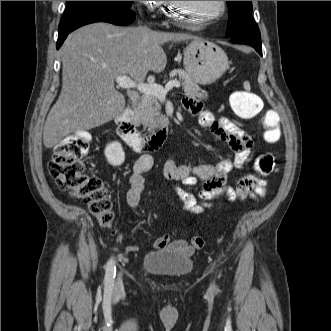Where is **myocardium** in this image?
Here are the masks:
<instances>
[{"mask_svg":"<svg viewBox=\"0 0 331 331\" xmlns=\"http://www.w3.org/2000/svg\"><path fill=\"white\" fill-rule=\"evenodd\" d=\"M180 3L181 2H179V1H167V4H168L167 16L174 24H176L178 26H202V25H206L207 23L222 17L225 13V10H226L225 1H218L219 9L215 14H213L210 17H207L205 19H202L200 22H189V21H185V20L180 19L176 14L177 7L179 6Z\"/></svg>","mask_w":331,"mask_h":331,"instance_id":"1","label":"myocardium"}]
</instances>
